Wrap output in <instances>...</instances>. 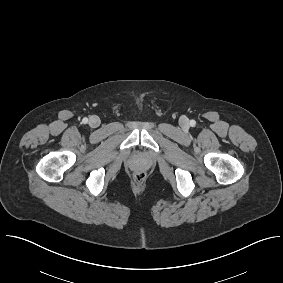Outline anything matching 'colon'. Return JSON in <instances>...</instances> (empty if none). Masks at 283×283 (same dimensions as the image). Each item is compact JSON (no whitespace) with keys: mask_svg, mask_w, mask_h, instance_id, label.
<instances>
[{"mask_svg":"<svg viewBox=\"0 0 283 283\" xmlns=\"http://www.w3.org/2000/svg\"><path fill=\"white\" fill-rule=\"evenodd\" d=\"M134 179L136 182L140 183L145 179V174L143 172H136L134 175Z\"/></svg>","mask_w":283,"mask_h":283,"instance_id":"1","label":"colon"}]
</instances>
